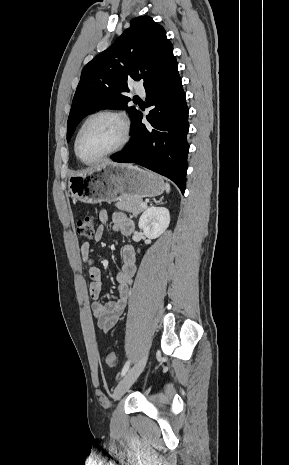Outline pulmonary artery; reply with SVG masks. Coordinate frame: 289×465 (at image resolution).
I'll return each mask as SVG.
<instances>
[{
  "instance_id": "e3ab8cb5",
  "label": "pulmonary artery",
  "mask_w": 289,
  "mask_h": 465,
  "mask_svg": "<svg viewBox=\"0 0 289 465\" xmlns=\"http://www.w3.org/2000/svg\"><path fill=\"white\" fill-rule=\"evenodd\" d=\"M135 91H136V93L141 94V95L145 94V89H144V87L142 85H137L135 87Z\"/></svg>"
}]
</instances>
